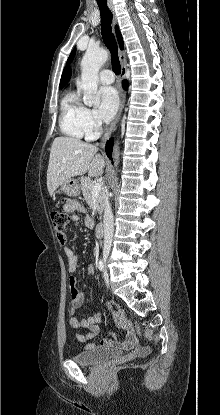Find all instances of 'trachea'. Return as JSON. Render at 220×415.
Masks as SVG:
<instances>
[{
  "label": "trachea",
  "mask_w": 220,
  "mask_h": 415,
  "mask_svg": "<svg viewBox=\"0 0 220 415\" xmlns=\"http://www.w3.org/2000/svg\"><path fill=\"white\" fill-rule=\"evenodd\" d=\"M101 14V35L102 39L111 53V63L114 73H121V66L118 58L117 43L114 35L112 34V12L109 10L106 4H98Z\"/></svg>",
  "instance_id": "trachea-1"
}]
</instances>
